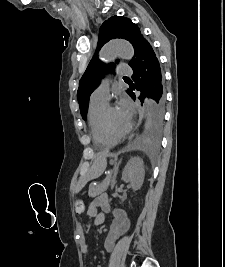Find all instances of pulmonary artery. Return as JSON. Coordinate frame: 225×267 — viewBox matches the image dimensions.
<instances>
[{
	"mask_svg": "<svg viewBox=\"0 0 225 267\" xmlns=\"http://www.w3.org/2000/svg\"><path fill=\"white\" fill-rule=\"evenodd\" d=\"M131 72V69L126 64H119L116 68L117 75H129ZM109 84L110 79L108 77L104 78L100 85L93 91L91 99L107 102L109 98Z\"/></svg>",
	"mask_w": 225,
	"mask_h": 267,
	"instance_id": "obj_1",
	"label": "pulmonary artery"
}]
</instances>
